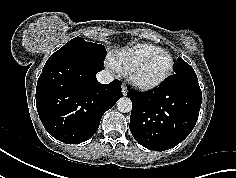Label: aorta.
Segmentation results:
<instances>
[{"instance_id": "762f6f07", "label": "aorta", "mask_w": 236, "mask_h": 178, "mask_svg": "<svg viewBox=\"0 0 236 178\" xmlns=\"http://www.w3.org/2000/svg\"><path fill=\"white\" fill-rule=\"evenodd\" d=\"M117 109L122 113H127L132 110V102L128 97L120 98L117 103Z\"/></svg>"}]
</instances>
